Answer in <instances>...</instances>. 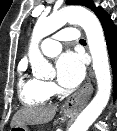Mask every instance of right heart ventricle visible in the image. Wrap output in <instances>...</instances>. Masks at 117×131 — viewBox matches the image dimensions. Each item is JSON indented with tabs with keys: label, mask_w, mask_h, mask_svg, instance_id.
Instances as JSON below:
<instances>
[{
	"label": "right heart ventricle",
	"mask_w": 117,
	"mask_h": 131,
	"mask_svg": "<svg viewBox=\"0 0 117 131\" xmlns=\"http://www.w3.org/2000/svg\"><path fill=\"white\" fill-rule=\"evenodd\" d=\"M18 93L20 101L26 106L44 105L51 95L46 82L24 72L19 78Z\"/></svg>",
	"instance_id": "1"
}]
</instances>
